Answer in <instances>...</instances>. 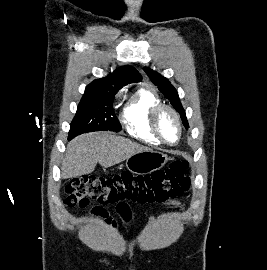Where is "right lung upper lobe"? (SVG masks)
I'll use <instances>...</instances> for the list:
<instances>
[{
	"label": "right lung upper lobe",
	"instance_id": "cb5924a9",
	"mask_svg": "<svg viewBox=\"0 0 267 270\" xmlns=\"http://www.w3.org/2000/svg\"><path fill=\"white\" fill-rule=\"evenodd\" d=\"M139 72L132 66H122L117 68L107 77L96 79L85 90L111 89L119 90L123 86L141 81Z\"/></svg>",
	"mask_w": 267,
	"mask_h": 270
}]
</instances>
